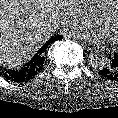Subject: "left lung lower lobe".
Returning a JSON list of instances; mask_svg holds the SVG:
<instances>
[{
  "mask_svg": "<svg viewBox=\"0 0 118 118\" xmlns=\"http://www.w3.org/2000/svg\"><path fill=\"white\" fill-rule=\"evenodd\" d=\"M98 73L103 80L118 84V53L110 55L108 63Z\"/></svg>",
  "mask_w": 118,
  "mask_h": 118,
  "instance_id": "0a47b994",
  "label": "left lung lower lobe"
}]
</instances>
